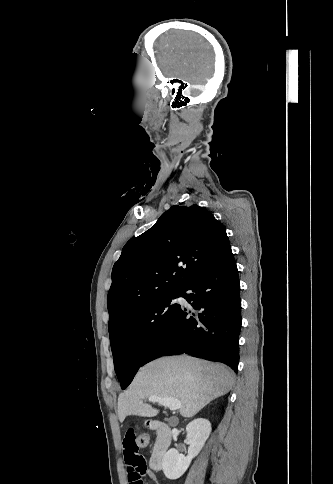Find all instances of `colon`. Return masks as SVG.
<instances>
[{
	"mask_svg": "<svg viewBox=\"0 0 333 484\" xmlns=\"http://www.w3.org/2000/svg\"><path fill=\"white\" fill-rule=\"evenodd\" d=\"M149 438L147 434H140L136 438V443L139 448H144L148 445Z\"/></svg>",
	"mask_w": 333,
	"mask_h": 484,
	"instance_id": "obj_1",
	"label": "colon"
}]
</instances>
